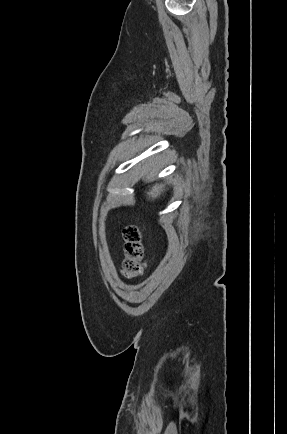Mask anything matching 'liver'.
<instances>
[{
    "mask_svg": "<svg viewBox=\"0 0 287 434\" xmlns=\"http://www.w3.org/2000/svg\"><path fill=\"white\" fill-rule=\"evenodd\" d=\"M165 191V185L164 184H155L149 192H147V195L149 196V199H155L161 195Z\"/></svg>",
    "mask_w": 287,
    "mask_h": 434,
    "instance_id": "1",
    "label": "liver"
}]
</instances>
